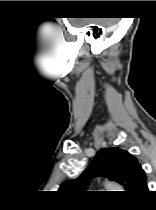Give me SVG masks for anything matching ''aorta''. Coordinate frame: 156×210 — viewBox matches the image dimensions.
Here are the masks:
<instances>
[{"instance_id": "1", "label": "aorta", "mask_w": 156, "mask_h": 210, "mask_svg": "<svg viewBox=\"0 0 156 210\" xmlns=\"http://www.w3.org/2000/svg\"><path fill=\"white\" fill-rule=\"evenodd\" d=\"M104 186L106 189H109L110 191H119V189H121V187L114 182L107 181L105 182Z\"/></svg>"}]
</instances>
